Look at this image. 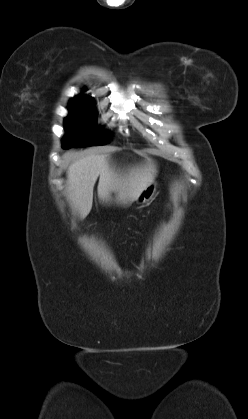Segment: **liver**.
Segmentation results:
<instances>
[{"label": "liver", "instance_id": "obj_1", "mask_svg": "<svg viewBox=\"0 0 248 419\" xmlns=\"http://www.w3.org/2000/svg\"><path fill=\"white\" fill-rule=\"evenodd\" d=\"M107 154H90L72 162L67 168V196L81 218L92 208L93 189L99 177L98 196L109 201L111 193L124 204L136 201L141 192L154 182L156 169L146 162L127 172H118L110 165Z\"/></svg>", "mask_w": 248, "mask_h": 419}]
</instances>
